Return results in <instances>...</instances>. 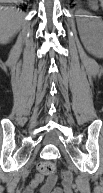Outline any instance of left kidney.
I'll return each mask as SVG.
<instances>
[{"instance_id": "1", "label": "left kidney", "mask_w": 103, "mask_h": 193, "mask_svg": "<svg viewBox=\"0 0 103 193\" xmlns=\"http://www.w3.org/2000/svg\"><path fill=\"white\" fill-rule=\"evenodd\" d=\"M78 14H82L79 10ZM83 17V16H81ZM82 18L78 27L81 41L85 48L94 56H99L98 46L102 44V22L97 17Z\"/></svg>"}]
</instances>
